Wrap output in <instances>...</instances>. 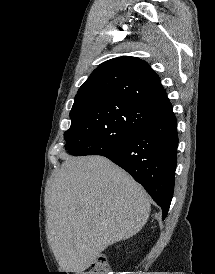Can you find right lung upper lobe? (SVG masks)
<instances>
[{
	"mask_svg": "<svg viewBox=\"0 0 215 274\" xmlns=\"http://www.w3.org/2000/svg\"><path fill=\"white\" fill-rule=\"evenodd\" d=\"M97 100L122 101L155 115L172 109L158 75L148 63L129 56L100 64L80 87L74 103Z\"/></svg>",
	"mask_w": 215,
	"mask_h": 274,
	"instance_id": "obj_1",
	"label": "right lung upper lobe"
}]
</instances>
